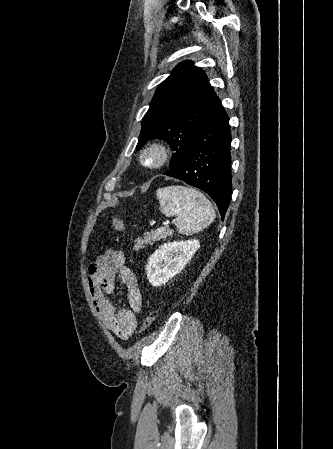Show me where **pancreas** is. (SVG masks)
<instances>
[{"instance_id":"1","label":"pancreas","mask_w":333,"mask_h":449,"mask_svg":"<svg viewBox=\"0 0 333 449\" xmlns=\"http://www.w3.org/2000/svg\"><path fill=\"white\" fill-rule=\"evenodd\" d=\"M171 235L172 230L167 227L160 228L158 230H152L150 233L144 236V238H138L135 240L136 244L134 245V249H143L146 246L153 245L156 241L165 239L167 236Z\"/></svg>"}]
</instances>
